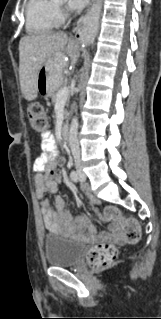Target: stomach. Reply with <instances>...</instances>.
Listing matches in <instances>:
<instances>
[{"label": "stomach", "instance_id": "0dacf381", "mask_svg": "<svg viewBox=\"0 0 161 319\" xmlns=\"http://www.w3.org/2000/svg\"><path fill=\"white\" fill-rule=\"evenodd\" d=\"M63 66L57 55L50 57L38 72L37 91L50 97L63 83Z\"/></svg>", "mask_w": 161, "mask_h": 319}]
</instances>
